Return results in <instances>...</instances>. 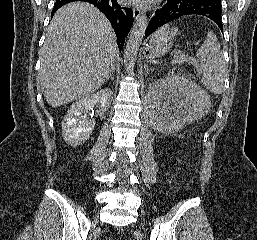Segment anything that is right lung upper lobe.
Wrapping results in <instances>:
<instances>
[{"mask_svg":"<svg viewBox=\"0 0 257 240\" xmlns=\"http://www.w3.org/2000/svg\"><path fill=\"white\" fill-rule=\"evenodd\" d=\"M57 1H66V0H57Z\"/></svg>","mask_w":257,"mask_h":240,"instance_id":"1","label":"right lung upper lobe"}]
</instances>
